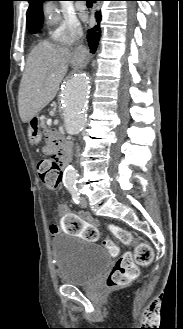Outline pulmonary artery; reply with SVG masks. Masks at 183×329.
<instances>
[{"mask_svg":"<svg viewBox=\"0 0 183 329\" xmlns=\"http://www.w3.org/2000/svg\"><path fill=\"white\" fill-rule=\"evenodd\" d=\"M76 8L78 11H84L86 9L85 4H77Z\"/></svg>","mask_w":183,"mask_h":329,"instance_id":"1","label":"pulmonary artery"}]
</instances>
